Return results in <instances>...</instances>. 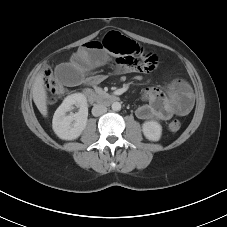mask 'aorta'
Returning <instances> with one entry per match:
<instances>
[{
	"instance_id": "762f6f07",
	"label": "aorta",
	"mask_w": 227,
	"mask_h": 227,
	"mask_svg": "<svg viewBox=\"0 0 227 227\" xmlns=\"http://www.w3.org/2000/svg\"><path fill=\"white\" fill-rule=\"evenodd\" d=\"M113 111H120L121 110V104L119 102H113L111 106Z\"/></svg>"
}]
</instances>
